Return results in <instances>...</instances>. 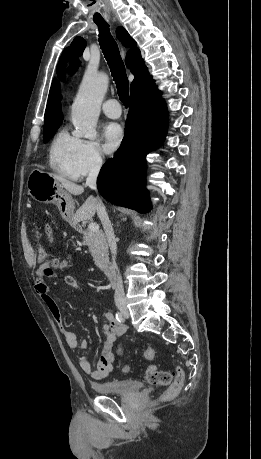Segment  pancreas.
I'll use <instances>...</instances> for the list:
<instances>
[{
    "mask_svg": "<svg viewBox=\"0 0 261 459\" xmlns=\"http://www.w3.org/2000/svg\"><path fill=\"white\" fill-rule=\"evenodd\" d=\"M83 239L84 244L89 247L95 265L103 269L108 261V246L103 232L87 229L83 232Z\"/></svg>",
    "mask_w": 261,
    "mask_h": 459,
    "instance_id": "obj_1",
    "label": "pancreas"
}]
</instances>
